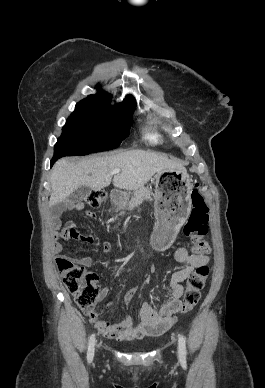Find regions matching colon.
Segmentation results:
<instances>
[{
    "label": "colon",
    "instance_id": "5ec220e1",
    "mask_svg": "<svg viewBox=\"0 0 265 388\" xmlns=\"http://www.w3.org/2000/svg\"><path fill=\"white\" fill-rule=\"evenodd\" d=\"M106 196L105 190H95L89 194L87 203L91 207L97 208L104 203ZM191 200L192 209L183 231L194 245V254L206 255L210 252V245L206 240L209 208L198 188L192 190ZM59 236L66 240H75L81 237L73 226L64 227ZM57 268L65 287L74 296L77 305L86 315L95 317L94 307L99 294L96 274L87 272L83 266L65 257L57 259ZM208 275L209 268L207 266H199L189 275L179 312H187L197 305Z\"/></svg>",
    "mask_w": 265,
    "mask_h": 388
}]
</instances>
